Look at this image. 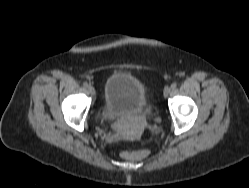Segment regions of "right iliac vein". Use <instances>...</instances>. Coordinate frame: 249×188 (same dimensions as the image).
Wrapping results in <instances>:
<instances>
[{
  "label": "right iliac vein",
  "mask_w": 249,
  "mask_h": 188,
  "mask_svg": "<svg viewBox=\"0 0 249 188\" xmlns=\"http://www.w3.org/2000/svg\"><path fill=\"white\" fill-rule=\"evenodd\" d=\"M88 90H89V93H90L92 96L95 95V89H94V87H93L92 85H89V86H88Z\"/></svg>",
  "instance_id": "1"
}]
</instances>
